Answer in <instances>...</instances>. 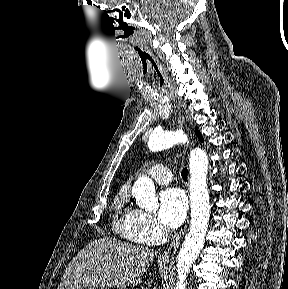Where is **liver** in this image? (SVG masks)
<instances>
[{
	"label": "liver",
	"mask_w": 288,
	"mask_h": 289,
	"mask_svg": "<svg viewBox=\"0 0 288 289\" xmlns=\"http://www.w3.org/2000/svg\"><path fill=\"white\" fill-rule=\"evenodd\" d=\"M154 251L103 237L92 241L68 264L57 289L126 288L141 282Z\"/></svg>",
	"instance_id": "6515ba94"
}]
</instances>
